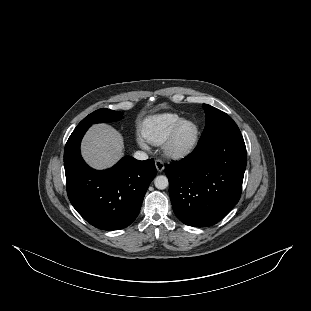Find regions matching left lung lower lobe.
I'll list each match as a JSON object with an SVG mask.
<instances>
[{"label":"left lung lower lobe","mask_w":311,"mask_h":311,"mask_svg":"<svg viewBox=\"0 0 311 311\" xmlns=\"http://www.w3.org/2000/svg\"><path fill=\"white\" fill-rule=\"evenodd\" d=\"M245 168L246 147L240 131L199 141L190 155L165 168L177 218L194 227L216 224L238 203Z\"/></svg>","instance_id":"0a47b994"}]
</instances>
